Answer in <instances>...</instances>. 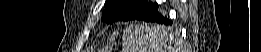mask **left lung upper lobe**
Returning a JSON list of instances; mask_svg holds the SVG:
<instances>
[{
  "label": "left lung upper lobe",
  "mask_w": 261,
  "mask_h": 52,
  "mask_svg": "<svg viewBox=\"0 0 261 52\" xmlns=\"http://www.w3.org/2000/svg\"><path fill=\"white\" fill-rule=\"evenodd\" d=\"M154 4L146 0H107L102 20L108 23L135 20Z\"/></svg>",
  "instance_id": "1"
}]
</instances>
